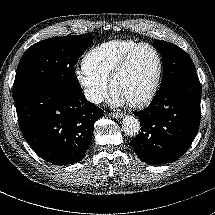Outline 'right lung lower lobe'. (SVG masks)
I'll return each instance as SVG.
<instances>
[{
	"label": "right lung lower lobe",
	"instance_id": "obj_1",
	"mask_svg": "<svg viewBox=\"0 0 215 215\" xmlns=\"http://www.w3.org/2000/svg\"><path fill=\"white\" fill-rule=\"evenodd\" d=\"M21 132L32 149L56 165L80 161L103 111L81 91L47 86L14 99Z\"/></svg>",
	"mask_w": 215,
	"mask_h": 215
}]
</instances>
